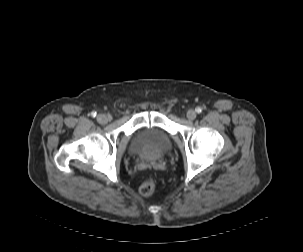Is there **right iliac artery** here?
Segmentation results:
<instances>
[{"label":"right iliac artery","instance_id":"82829eb1","mask_svg":"<svg viewBox=\"0 0 303 252\" xmlns=\"http://www.w3.org/2000/svg\"><path fill=\"white\" fill-rule=\"evenodd\" d=\"M91 115H92L93 117H96L97 113H96L95 111H93V112L91 113Z\"/></svg>","mask_w":303,"mask_h":252}]
</instances>
